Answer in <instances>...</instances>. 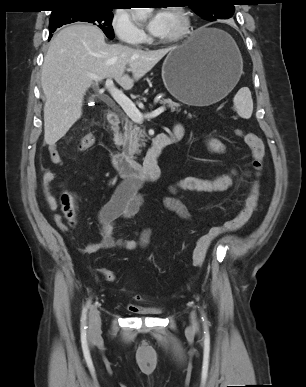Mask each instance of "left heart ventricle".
Masks as SVG:
<instances>
[{
	"label": "left heart ventricle",
	"mask_w": 306,
	"mask_h": 387,
	"mask_svg": "<svg viewBox=\"0 0 306 387\" xmlns=\"http://www.w3.org/2000/svg\"><path fill=\"white\" fill-rule=\"evenodd\" d=\"M165 13H166V29L160 38H167L173 35L175 32H177L180 25L179 17L176 14L170 11H166Z\"/></svg>",
	"instance_id": "left-heart-ventricle-1"
}]
</instances>
